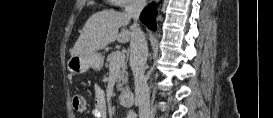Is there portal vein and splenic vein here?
<instances>
[{
    "label": "portal vein and splenic vein",
    "mask_w": 273,
    "mask_h": 118,
    "mask_svg": "<svg viewBox=\"0 0 273 118\" xmlns=\"http://www.w3.org/2000/svg\"><path fill=\"white\" fill-rule=\"evenodd\" d=\"M117 59L118 60H125V54L122 52H119L117 55ZM114 67H115V64H113V66L111 68H114Z\"/></svg>",
    "instance_id": "1"
}]
</instances>
